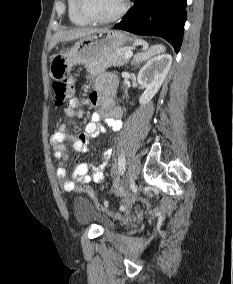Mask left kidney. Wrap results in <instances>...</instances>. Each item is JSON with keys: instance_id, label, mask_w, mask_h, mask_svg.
Returning a JSON list of instances; mask_svg holds the SVG:
<instances>
[{"instance_id": "5707ae66", "label": "left kidney", "mask_w": 233, "mask_h": 284, "mask_svg": "<svg viewBox=\"0 0 233 284\" xmlns=\"http://www.w3.org/2000/svg\"><path fill=\"white\" fill-rule=\"evenodd\" d=\"M172 64V56L161 54L155 56L140 69L137 81L145 88L139 98L141 105L148 104L160 89Z\"/></svg>"}]
</instances>
